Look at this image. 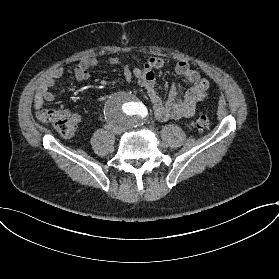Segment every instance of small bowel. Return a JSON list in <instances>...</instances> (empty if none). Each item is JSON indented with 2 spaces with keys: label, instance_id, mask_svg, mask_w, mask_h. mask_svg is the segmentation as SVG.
I'll list each match as a JSON object with an SVG mask.
<instances>
[{
  "label": "small bowel",
  "instance_id": "obj_1",
  "mask_svg": "<svg viewBox=\"0 0 279 279\" xmlns=\"http://www.w3.org/2000/svg\"><path fill=\"white\" fill-rule=\"evenodd\" d=\"M108 62L110 65L122 69L126 82L136 81L146 90L154 116L159 121L192 116L195 112L196 104L204 101L208 96L207 90L210 86V81L202 77L200 72L186 61H179L174 67V72L184 77L191 86L183 90L172 87L169 97L166 100H163L155 90V70L161 69L165 63L162 57H151L143 64L142 68L134 69L117 56L109 57ZM98 65L99 61L95 57L82 58L74 68L76 81H85L89 76V68ZM63 74L64 68L56 67L41 80L36 89L33 101L36 110H40L45 103L54 101L55 97L51 92V88L65 85L60 80ZM103 100L104 97L97 98L98 103H101ZM70 115L74 124L81 122L82 118L80 114L73 112Z\"/></svg>",
  "mask_w": 279,
  "mask_h": 279
}]
</instances>
